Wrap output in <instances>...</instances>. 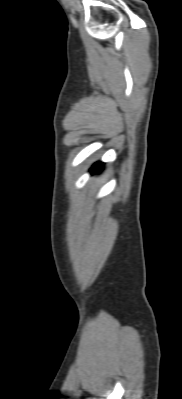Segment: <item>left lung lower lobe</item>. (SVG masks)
Masks as SVG:
<instances>
[{
  "label": "left lung lower lobe",
  "instance_id": "left-lung-lower-lobe-1",
  "mask_svg": "<svg viewBox=\"0 0 182 399\" xmlns=\"http://www.w3.org/2000/svg\"><path fill=\"white\" fill-rule=\"evenodd\" d=\"M103 167V163L101 162H97L95 163L92 168L90 169L91 174H95L99 169H101Z\"/></svg>",
  "mask_w": 182,
  "mask_h": 399
}]
</instances>
